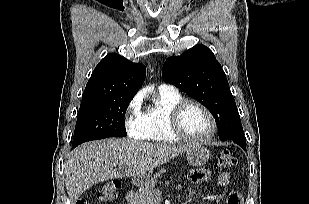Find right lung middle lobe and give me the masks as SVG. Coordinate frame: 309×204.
I'll return each instance as SVG.
<instances>
[{
	"instance_id": "right-lung-middle-lobe-1",
	"label": "right lung middle lobe",
	"mask_w": 309,
	"mask_h": 204,
	"mask_svg": "<svg viewBox=\"0 0 309 204\" xmlns=\"http://www.w3.org/2000/svg\"><path fill=\"white\" fill-rule=\"evenodd\" d=\"M132 98L115 97L80 105L72 146L107 137H125L124 116Z\"/></svg>"
}]
</instances>
